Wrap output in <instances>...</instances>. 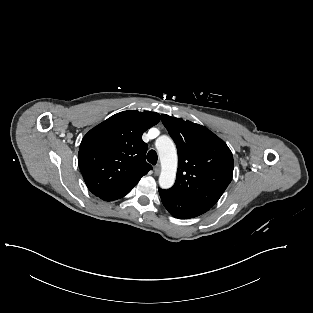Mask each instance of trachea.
Returning a JSON list of instances; mask_svg holds the SVG:
<instances>
[{
	"instance_id": "trachea-1",
	"label": "trachea",
	"mask_w": 313,
	"mask_h": 313,
	"mask_svg": "<svg viewBox=\"0 0 313 313\" xmlns=\"http://www.w3.org/2000/svg\"><path fill=\"white\" fill-rule=\"evenodd\" d=\"M147 160L149 163L155 165L157 163V160H158L156 151L150 150L147 154Z\"/></svg>"
}]
</instances>
